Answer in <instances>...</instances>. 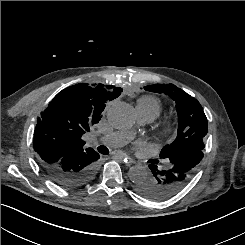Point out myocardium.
Returning <instances> with one entry per match:
<instances>
[{
    "label": "myocardium",
    "mask_w": 245,
    "mask_h": 245,
    "mask_svg": "<svg viewBox=\"0 0 245 245\" xmlns=\"http://www.w3.org/2000/svg\"><path fill=\"white\" fill-rule=\"evenodd\" d=\"M176 133H177L176 125L170 121L165 122L159 130V135L161 137H167V138L174 137Z\"/></svg>",
    "instance_id": "1"
}]
</instances>
